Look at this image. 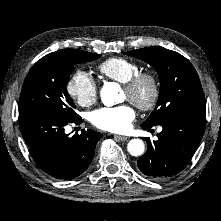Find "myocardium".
Here are the masks:
<instances>
[{
  "mask_svg": "<svg viewBox=\"0 0 221 221\" xmlns=\"http://www.w3.org/2000/svg\"><path fill=\"white\" fill-rule=\"evenodd\" d=\"M143 85L149 88V95L142 100L138 97ZM123 89L129 95V101L142 111H150L155 108L160 97V84L155 74L140 71L127 82L123 83Z\"/></svg>",
  "mask_w": 221,
  "mask_h": 221,
  "instance_id": "1",
  "label": "myocardium"
}]
</instances>
